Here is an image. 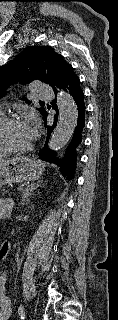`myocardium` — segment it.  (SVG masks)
I'll list each match as a JSON object with an SVG mask.
<instances>
[{"mask_svg":"<svg viewBox=\"0 0 118 320\" xmlns=\"http://www.w3.org/2000/svg\"><path fill=\"white\" fill-rule=\"evenodd\" d=\"M22 122L19 116H4L0 119V147L3 148L8 153L13 154H24L33 149V144L28 145L24 148H14L10 146L4 138L5 129L14 123Z\"/></svg>","mask_w":118,"mask_h":320,"instance_id":"f54148a6","label":"myocardium"}]
</instances>
